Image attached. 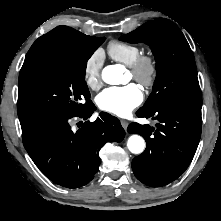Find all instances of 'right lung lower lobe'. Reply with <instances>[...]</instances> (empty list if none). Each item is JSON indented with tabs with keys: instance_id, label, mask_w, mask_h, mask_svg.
Here are the masks:
<instances>
[{
	"instance_id": "98d812e1",
	"label": "right lung lower lobe",
	"mask_w": 221,
	"mask_h": 221,
	"mask_svg": "<svg viewBox=\"0 0 221 221\" xmlns=\"http://www.w3.org/2000/svg\"><path fill=\"white\" fill-rule=\"evenodd\" d=\"M94 110L90 102L77 113H54L20 122L26 151L52 182L67 188L86 185L98 171L103 145L123 140L120 121L106 112L94 122H80L78 130L72 128L74 118L87 120Z\"/></svg>"
}]
</instances>
